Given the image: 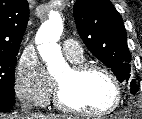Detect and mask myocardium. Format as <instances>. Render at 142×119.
Here are the masks:
<instances>
[{
	"instance_id": "myocardium-1",
	"label": "myocardium",
	"mask_w": 142,
	"mask_h": 119,
	"mask_svg": "<svg viewBox=\"0 0 142 119\" xmlns=\"http://www.w3.org/2000/svg\"><path fill=\"white\" fill-rule=\"evenodd\" d=\"M69 69L72 76L75 78L81 77L82 75L91 71L103 73L111 81L114 88L115 97L113 103L107 109L99 112H88L70 104L65 98L62 84L56 80L54 103L57 108L64 112L84 117H104L112 114L118 109L122 101V89L117 77L107 67L98 63L81 62L72 64Z\"/></svg>"
}]
</instances>
